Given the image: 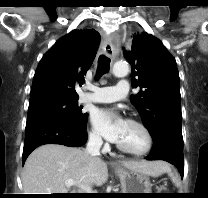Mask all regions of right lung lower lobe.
Listing matches in <instances>:
<instances>
[{"label": "right lung lower lobe", "mask_w": 208, "mask_h": 198, "mask_svg": "<svg viewBox=\"0 0 208 198\" xmlns=\"http://www.w3.org/2000/svg\"><path fill=\"white\" fill-rule=\"evenodd\" d=\"M87 141L86 127H79L72 122L49 118L26 125L25 142L22 155V164L29 154L44 144H61L69 147H78Z\"/></svg>", "instance_id": "obj_1"}]
</instances>
